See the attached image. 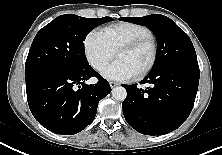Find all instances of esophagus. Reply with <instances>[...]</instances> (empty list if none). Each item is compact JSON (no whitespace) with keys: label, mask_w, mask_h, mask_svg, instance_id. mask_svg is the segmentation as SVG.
<instances>
[{"label":"esophagus","mask_w":222,"mask_h":155,"mask_svg":"<svg viewBox=\"0 0 222 155\" xmlns=\"http://www.w3.org/2000/svg\"><path fill=\"white\" fill-rule=\"evenodd\" d=\"M109 84H110L111 88H114V87L118 86V83L117 82H113V81H111Z\"/></svg>","instance_id":"obj_1"}]
</instances>
